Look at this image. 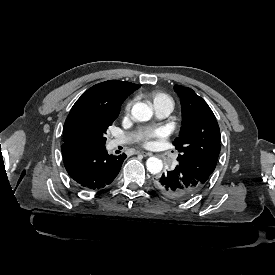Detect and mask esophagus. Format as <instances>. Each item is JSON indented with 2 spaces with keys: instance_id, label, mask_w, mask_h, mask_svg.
<instances>
[{
  "instance_id": "esophagus-1",
  "label": "esophagus",
  "mask_w": 275,
  "mask_h": 275,
  "mask_svg": "<svg viewBox=\"0 0 275 275\" xmlns=\"http://www.w3.org/2000/svg\"><path fill=\"white\" fill-rule=\"evenodd\" d=\"M137 154H141V155H143L144 157H147V156H151V155H152V153L146 152V151H137Z\"/></svg>"
}]
</instances>
